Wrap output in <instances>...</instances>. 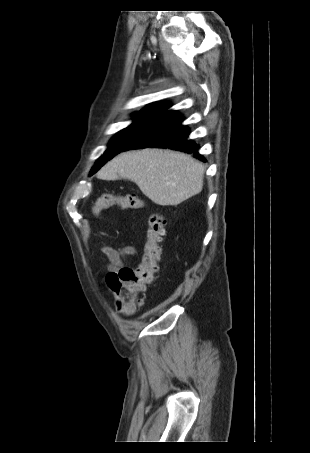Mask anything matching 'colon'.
Masks as SVG:
<instances>
[{
  "instance_id": "obj_1",
  "label": "colon",
  "mask_w": 310,
  "mask_h": 453,
  "mask_svg": "<svg viewBox=\"0 0 310 453\" xmlns=\"http://www.w3.org/2000/svg\"><path fill=\"white\" fill-rule=\"evenodd\" d=\"M137 210L143 207L142 200L136 195L103 194L93 204L95 215L112 208ZM165 233V220L159 214L150 217L144 252L141 263L136 268L123 267L117 273L106 276V283L114 294L116 309L130 314L140 305L138 294L151 284L158 271V262L162 254L161 243Z\"/></svg>"
}]
</instances>
